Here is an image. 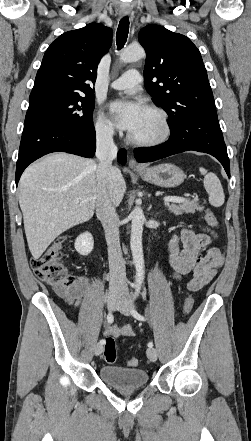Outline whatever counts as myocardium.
I'll return each mask as SVG.
<instances>
[{"mask_svg":"<svg viewBox=\"0 0 251 441\" xmlns=\"http://www.w3.org/2000/svg\"><path fill=\"white\" fill-rule=\"evenodd\" d=\"M146 109L156 113L160 119L161 122V126H162V131L160 133V135H158L155 138L152 139H138L135 138L134 136H132V134L130 133L128 135V140L136 145V146H140V147H154V146H158L163 144L164 142H166L170 135H171V125H170V121H169V117L167 112L156 105H148L146 107Z\"/></svg>","mask_w":251,"mask_h":441,"instance_id":"f54148a6","label":"myocardium"}]
</instances>
